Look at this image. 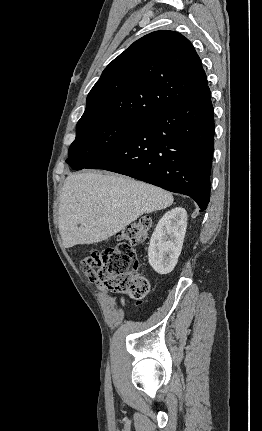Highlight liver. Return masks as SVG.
<instances>
[{
  "label": "liver",
  "mask_w": 262,
  "mask_h": 431,
  "mask_svg": "<svg viewBox=\"0 0 262 431\" xmlns=\"http://www.w3.org/2000/svg\"><path fill=\"white\" fill-rule=\"evenodd\" d=\"M169 192L112 173L69 175L59 204V232L66 248L113 236L139 216L172 205Z\"/></svg>",
  "instance_id": "liver-1"
}]
</instances>
